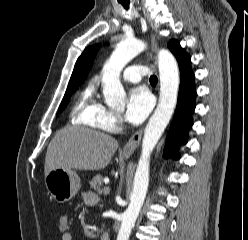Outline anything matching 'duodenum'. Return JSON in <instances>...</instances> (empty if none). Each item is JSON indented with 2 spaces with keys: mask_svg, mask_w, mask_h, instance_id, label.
<instances>
[{
  "mask_svg": "<svg viewBox=\"0 0 248 240\" xmlns=\"http://www.w3.org/2000/svg\"><path fill=\"white\" fill-rule=\"evenodd\" d=\"M99 238L100 240H111V237L108 233H102Z\"/></svg>",
  "mask_w": 248,
  "mask_h": 240,
  "instance_id": "obj_1",
  "label": "duodenum"
}]
</instances>
